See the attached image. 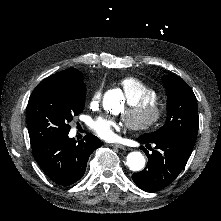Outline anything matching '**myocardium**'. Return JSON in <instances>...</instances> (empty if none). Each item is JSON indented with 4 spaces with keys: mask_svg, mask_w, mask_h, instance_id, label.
Masks as SVG:
<instances>
[{
    "mask_svg": "<svg viewBox=\"0 0 221 221\" xmlns=\"http://www.w3.org/2000/svg\"><path fill=\"white\" fill-rule=\"evenodd\" d=\"M169 116V106L165 101L153 100L147 107L137 103L126 115V125L134 132L148 133L163 126Z\"/></svg>",
    "mask_w": 221,
    "mask_h": 221,
    "instance_id": "obj_1",
    "label": "myocardium"
}]
</instances>
